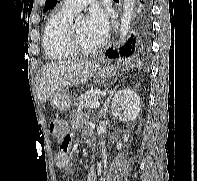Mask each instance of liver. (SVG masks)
<instances>
[{
    "instance_id": "obj_1",
    "label": "liver",
    "mask_w": 197,
    "mask_h": 181,
    "mask_svg": "<svg viewBox=\"0 0 197 181\" xmlns=\"http://www.w3.org/2000/svg\"><path fill=\"white\" fill-rule=\"evenodd\" d=\"M98 64L87 61H61L41 68L36 81V92L45 103L58 89L85 83L97 71Z\"/></svg>"
}]
</instances>
